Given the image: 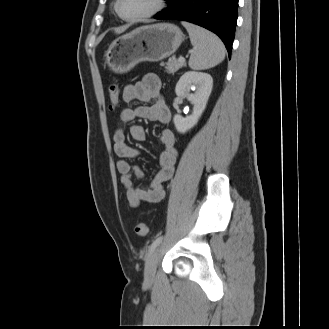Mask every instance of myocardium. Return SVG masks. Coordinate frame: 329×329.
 Listing matches in <instances>:
<instances>
[{
    "label": "myocardium",
    "mask_w": 329,
    "mask_h": 329,
    "mask_svg": "<svg viewBox=\"0 0 329 329\" xmlns=\"http://www.w3.org/2000/svg\"><path fill=\"white\" fill-rule=\"evenodd\" d=\"M119 3H120V0L115 1L114 9H115L116 14L122 20L130 21V22H135V21L146 19V18H150V17L156 15L157 13H159L165 6V0H155L154 7L151 10L147 11L146 13H143V14L137 15V16H133V17H125L119 11Z\"/></svg>",
    "instance_id": "myocardium-1"
}]
</instances>
